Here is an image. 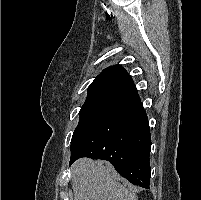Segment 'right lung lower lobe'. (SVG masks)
<instances>
[{
  "label": "right lung lower lobe",
  "instance_id": "obj_1",
  "mask_svg": "<svg viewBox=\"0 0 201 200\" xmlns=\"http://www.w3.org/2000/svg\"><path fill=\"white\" fill-rule=\"evenodd\" d=\"M150 151L149 122L138 97L75 137L70 165L81 157L107 160L130 183L150 188Z\"/></svg>",
  "mask_w": 201,
  "mask_h": 200
}]
</instances>
